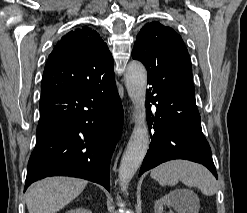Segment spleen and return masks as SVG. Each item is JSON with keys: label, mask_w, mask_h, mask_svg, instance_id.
Returning a JSON list of instances; mask_svg holds the SVG:
<instances>
[{"label": "spleen", "mask_w": 247, "mask_h": 213, "mask_svg": "<svg viewBox=\"0 0 247 213\" xmlns=\"http://www.w3.org/2000/svg\"><path fill=\"white\" fill-rule=\"evenodd\" d=\"M150 176L162 186H173L181 181L189 187L197 186L206 196L217 192L214 176L204 166L186 160L165 162L154 168Z\"/></svg>", "instance_id": "obj_1"}]
</instances>
